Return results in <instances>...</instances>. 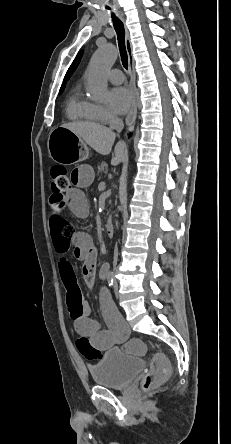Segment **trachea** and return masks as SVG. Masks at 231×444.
<instances>
[{"instance_id": "1", "label": "trachea", "mask_w": 231, "mask_h": 444, "mask_svg": "<svg viewBox=\"0 0 231 444\" xmlns=\"http://www.w3.org/2000/svg\"><path fill=\"white\" fill-rule=\"evenodd\" d=\"M112 20L114 24L115 31L117 33L118 45L121 55V61L125 69H128V55L125 45V29L121 21L112 13Z\"/></svg>"}]
</instances>
